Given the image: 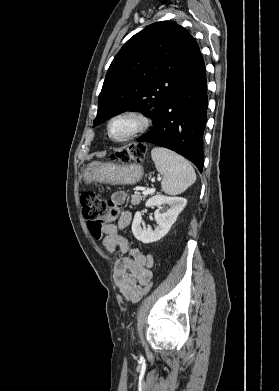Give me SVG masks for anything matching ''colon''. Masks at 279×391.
Here are the masks:
<instances>
[{
  "instance_id": "1",
  "label": "colon",
  "mask_w": 279,
  "mask_h": 391,
  "mask_svg": "<svg viewBox=\"0 0 279 391\" xmlns=\"http://www.w3.org/2000/svg\"><path fill=\"white\" fill-rule=\"evenodd\" d=\"M146 151L147 147L143 144L132 145L118 151L115 155V159L120 163L142 161L145 158ZM80 201L91 235L96 239H100L102 237V225L104 220L116 218L118 209L105 199L100 198L94 192H84L81 195ZM151 288L152 281H149L143 288V296L148 294Z\"/></svg>"
}]
</instances>
